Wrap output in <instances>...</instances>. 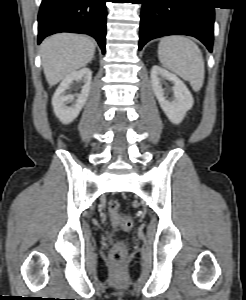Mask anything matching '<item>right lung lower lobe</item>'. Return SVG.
Instances as JSON below:
<instances>
[{"label": "right lung lower lobe", "mask_w": 246, "mask_h": 300, "mask_svg": "<svg viewBox=\"0 0 246 300\" xmlns=\"http://www.w3.org/2000/svg\"><path fill=\"white\" fill-rule=\"evenodd\" d=\"M107 0H42L38 44L54 33L74 32L94 37L105 53Z\"/></svg>", "instance_id": "1"}]
</instances>
